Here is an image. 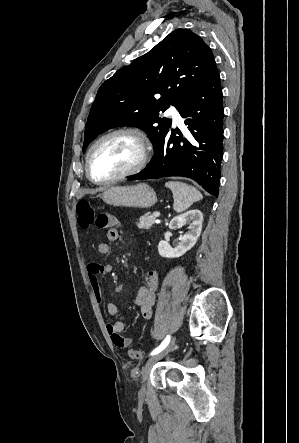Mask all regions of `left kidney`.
<instances>
[{"label": "left kidney", "instance_id": "obj_1", "mask_svg": "<svg viewBox=\"0 0 299 443\" xmlns=\"http://www.w3.org/2000/svg\"><path fill=\"white\" fill-rule=\"evenodd\" d=\"M203 214L200 210H189L173 218L169 223L170 229H177L189 224V231L180 237V243L172 248L168 241L161 240L158 244L159 255L165 258H177L184 255L197 242L202 231Z\"/></svg>", "mask_w": 299, "mask_h": 443}]
</instances>
